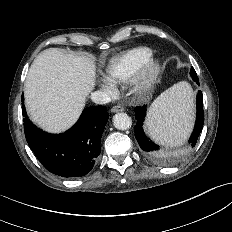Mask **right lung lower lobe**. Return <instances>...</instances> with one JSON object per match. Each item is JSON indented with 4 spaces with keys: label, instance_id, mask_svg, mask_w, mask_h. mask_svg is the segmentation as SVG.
Returning <instances> with one entry per match:
<instances>
[{
    "label": "right lung lower lobe",
    "instance_id": "right-lung-lower-lobe-1",
    "mask_svg": "<svg viewBox=\"0 0 232 232\" xmlns=\"http://www.w3.org/2000/svg\"><path fill=\"white\" fill-rule=\"evenodd\" d=\"M24 132L28 145L51 173L62 177L84 176L100 154V140L109 114L104 106L84 109L76 124L62 134H49L37 128L27 117L23 104Z\"/></svg>",
    "mask_w": 232,
    "mask_h": 232
}]
</instances>
